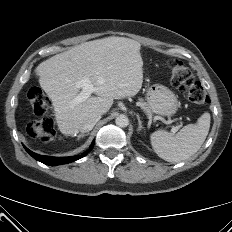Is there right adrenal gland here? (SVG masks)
Segmentation results:
<instances>
[{"label":"right adrenal gland","mask_w":232,"mask_h":232,"mask_svg":"<svg viewBox=\"0 0 232 232\" xmlns=\"http://www.w3.org/2000/svg\"><path fill=\"white\" fill-rule=\"evenodd\" d=\"M89 133H86V134H79L78 136H77V140H79L80 138H82V137H84V136H86V135H88Z\"/></svg>","instance_id":"1"}]
</instances>
